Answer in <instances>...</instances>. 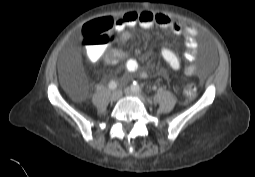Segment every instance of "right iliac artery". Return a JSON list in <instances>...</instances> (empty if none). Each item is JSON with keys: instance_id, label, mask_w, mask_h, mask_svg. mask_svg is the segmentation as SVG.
Returning a JSON list of instances; mask_svg holds the SVG:
<instances>
[{"instance_id": "82829eb1", "label": "right iliac artery", "mask_w": 255, "mask_h": 177, "mask_svg": "<svg viewBox=\"0 0 255 177\" xmlns=\"http://www.w3.org/2000/svg\"><path fill=\"white\" fill-rule=\"evenodd\" d=\"M116 87H117V84H116L115 81H111V82L109 83V89H110V90H115Z\"/></svg>"}]
</instances>
